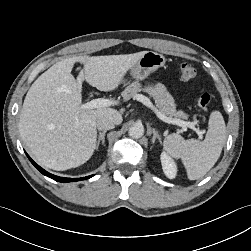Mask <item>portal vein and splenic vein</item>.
Wrapping results in <instances>:
<instances>
[{
  "label": "portal vein and splenic vein",
  "instance_id": "1",
  "mask_svg": "<svg viewBox=\"0 0 251 251\" xmlns=\"http://www.w3.org/2000/svg\"><path fill=\"white\" fill-rule=\"evenodd\" d=\"M137 101L142 102L145 106L150 108L156 116L169 124H174L182 127V132L187 131V127L193 129L194 131H197V129L194 127L193 123L191 122H186L180 119H175L171 117H167L165 114H163L151 101L148 97L142 95V94H137L134 97ZM116 101L110 100V99H104V98H98V99H93L90 102L83 104L82 108L83 109H93V108H101V107H108L111 105H115Z\"/></svg>",
  "mask_w": 251,
  "mask_h": 251
}]
</instances>
